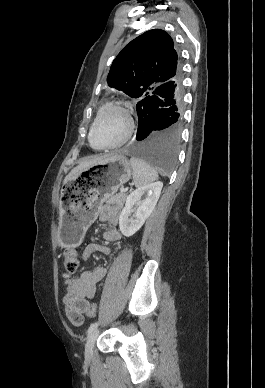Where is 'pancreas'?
Listing matches in <instances>:
<instances>
[{
  "mask_svg": "<svg viewBox=\"0 0 265 388\" xmlns=\"http://www.w3.org/2000/svg\"><path fill=\"white\" fill-rule=\"evenodd\" d=\"M126 194L124 192H119V194H115V196H105L104 200L106 204H118V206H123L125 202Z\"/></svg>",
  "mask_w": 265,
  "mask_h": 388,
  "instance_id": "cf45deb5",
  "label": "pancreas"
}]
</instances>
